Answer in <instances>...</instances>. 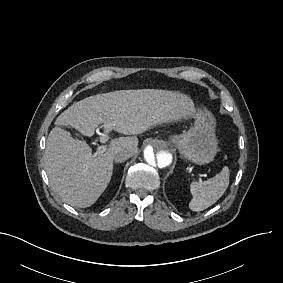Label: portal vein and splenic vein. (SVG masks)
<instances>
[{
    "label": "portal vein and splenic vein",
    "instance_id": "portal-vein-and-splenic-vein-1",
    "mask_svg": "<svg viewBox=\"0 0 283 283\" xmlns=\"http://www.w3.org/2000/svg\"><path fill=\"white\" fill-rule=\"evenodd\" d=\"M102 127L104 128V132L100 134V142L105 143L109 139V133L114 129L115 124L108 121L105 122ZM98 149L101 152H105L107 150L105 146H100Z\"/></svg>",
    "mask_w": 283,
    "mask_h": 283
}]
</instances>
